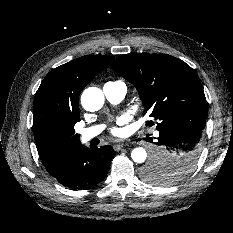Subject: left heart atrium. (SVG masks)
<instances>
[{
  "instance_id": "39dd6f15",
  "label": "left heart atrium",
  "mask_w": 233,
  "mask_h": 233,
  "mask_svg": "<svg viewBox=\"0 0 233 233\" xmlns=\"http://www.w3.org/2000/svg\"><path fill=\"white\" fill-rule=\"evenodd\" d=\"M112 132H113L114 134H117V133H118V130H117V129H113Z\"/></svg>"
}]
</instances>
